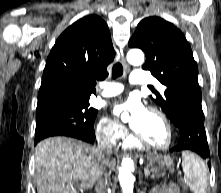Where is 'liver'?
<instances>
[{"instance_id": "obj_1", "label": "liver", "mask_w": 221, "mask_h": 193, "mask_svg": "<svg viewBox=\"0 0 221 193\" xmlns=\"http://www.w3.org/2000/svg\"><path fill=\"white\" fill-rule=\"evenodd\" d=\"M101 154L97 147L66 138H47L36 146L37 193H79L96 183ZM115 160L109 155L108 172Z\"/></svg>"}]
</instances>
